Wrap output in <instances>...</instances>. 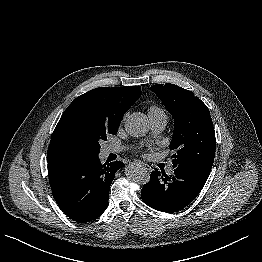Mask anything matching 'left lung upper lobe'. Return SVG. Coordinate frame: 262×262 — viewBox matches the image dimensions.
<instances>
[{"label":"left lung upper lobe","instance_id":"left-lung-upper-lobe-1","mask_svg":"<svg viewBox=\"0 0 262 262\" xmlns=\"http://www.w3.org/2000/svg\"><path fill=\"white\" fill-rule=\"evenodd\" d=\"M151 90L174 118L170 149L173 167L209 176L215 157L216 139L208 107L193 92L174 84H157Z\"/></svg>","mask_w":262,"mask_h":262}]
</instances>
